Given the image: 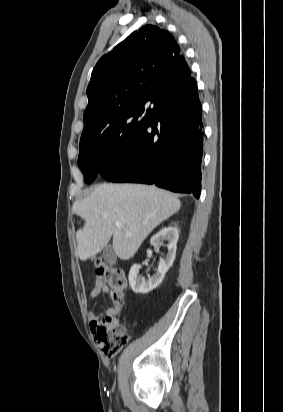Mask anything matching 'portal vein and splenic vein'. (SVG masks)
I'll list each match as a JSON object with an SVG mask.
<instances>
[{"label": "portal vein and splenic vein", "mask_w": 283, "mask_h": 412, "mask_svg": "<svg viewBox=\"0 0 283 412\" xmlns=\"http://www.w3.org/2000/svg\"><path fill=\"white\" fill-rule=\"evenodd\" d=\"M115 226H116L117 228H121V227H122V223H121L120 221H116V222H115Z\"/></svg>", "instance_id": "obj_1"}]
</instances>
